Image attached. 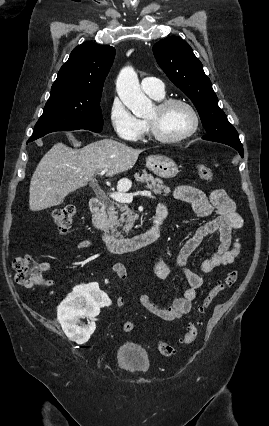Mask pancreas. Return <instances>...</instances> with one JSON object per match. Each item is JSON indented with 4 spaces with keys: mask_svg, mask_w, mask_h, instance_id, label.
<instances>
[{
    "mask_svg": "<svg viewBox=\"0 0 269 426\" xmlns=\"http://www.w3.org/2000/svg\"><path fill=\"white\" fill-rule=\"evenodd\" d=\"M137 181L146 183V187L152 190L155 194L167 195L171 192L170 188L163 184V181L159 178H154L151 174L143 171L141 176L139 174L134 175ZM108 223L112 227H123V230L128 233L135 220L132 210L129 209L128 205L124 203H118L111 201L108 204Z\"/></svg>",
    "mask_w": 269,
    "mask_h": 426,
    "instance_id": "cf45deb5",
    "label": "pancreas"
}]
</instances>
